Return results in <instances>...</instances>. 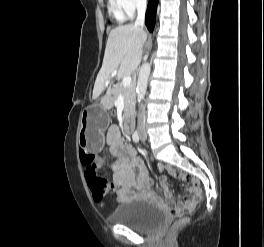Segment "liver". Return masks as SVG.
Listing matches in <instances>:
<instances>
[{"instance_id": "6515ba94", "label": "liver", "mask_w": 264, "mask_h": 247, "mask_svg": "<svg viewBox=\"0 0 264 247\" xmlns=\"http://www.w3.org/2000/svg\"><path fill=\"white\" fill-rule=\"evenodd\" d=\"M146 39V33L134 24L119 26L110 31L103 64L94 84V100L104 91L112 73L116 72L118 78H124L136 71Z\"/></svg>"}]
</instances>
